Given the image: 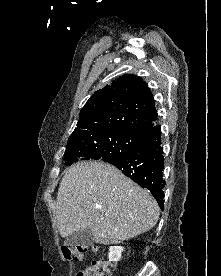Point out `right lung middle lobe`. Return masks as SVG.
Listing matches in <instances>:
<instances>
[{"mask_svg": "<svg viewBox=\"0 0 221 276\" xmlns=\"http://www.w3.org/2000/svg\"><path fill=\"white\" fill-rule=\"evenodd\" d=\"M141 141V137L121 132L99 134L85 139L68 141L64 159L68 165L90 159L110 162L130 153Z\"/></svg>", "mask_w": 221, "mask_h": 276, "instance_id": "1", "label": "right lung middle lobe"}]
</instances>
